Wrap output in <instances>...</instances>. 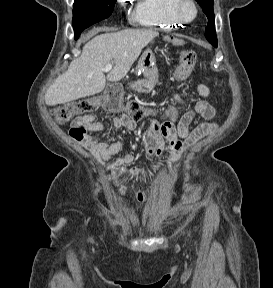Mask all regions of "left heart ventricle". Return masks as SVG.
<instances>
[{"mask_svg":"<svg viewBox=\"0 0 273 288\" xmlns=\"http://www.w3.org/2000/svg\"><path fill=\"white\" fill-rule=\"evenodd\" d=\"M192 13H193L192 8H191L190 6H186V8H185V14H186L187 16H191Z\"/></svg>","mask_w":273,"mask_h":288,"instance_id":"b2bd125f","label":"left heart ventricle"}]
</instances>
